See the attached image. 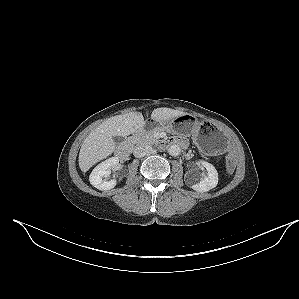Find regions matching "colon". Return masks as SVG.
Masks as SVG:
<instances>
[{
  "mask_svg": "<svg viewBox=\"0 0 299 299\" xmlns=\"http://www.w3.org/2000/svg\"><path fill=\"white\" fill-rule=\"evenodd\" d=\"M234 167H235L234 159L230 157L227 161V170L230 172L234 169Z\"/></svg>",
  "mask_w": 299,
  "mask_h": 299,
  "instance_id": "colon-1",
  "label": "colon"
}]
</instances>
